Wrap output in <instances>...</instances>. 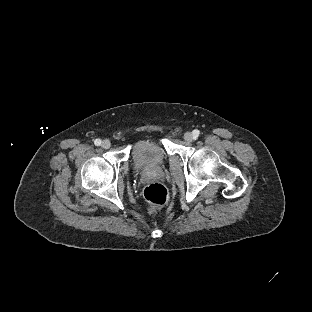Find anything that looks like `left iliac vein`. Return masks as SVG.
Masks as SVG:
<instances>
[{"instance_id": "left-iliac-vein-1", "label": "left iliac vein", "mask_w": 312, "mask_h": 312, "mask_svg": "<svg viewBox=\"0 0 312 312\" xmlns=\"http://www.w3.org/2000/svg\"><path fill=\"white\" fill-rule=\"evenodd\" d=\"M184 139L187 141V142H191L194 140V136L191 132H186L184 134Z\"/></svg>"}]
</instances>
